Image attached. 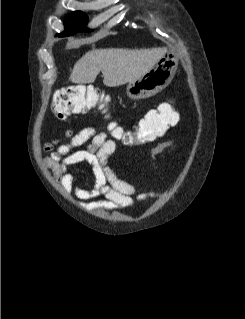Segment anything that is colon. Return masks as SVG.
<instances>
[{
	"label": "colon",
	"mask_w": 245,
	"mask_h": 319,
	"mask_svg": "<svg viewBox=\"0 0 245 319\" xmlns=\"http://www.w3.org/2000/svg\"><path fill=\"white\" fill-rule=\"evenodd\" d=\"M104 95L92 85H71L55 93L52 101L54 114L63 119L72 114L86 113L96 106H105ZM177 120V113L172 106H163L149 111L142 117L134 131L121 128L113 130L116 138L125 145H144L154 142L164 135Z\"/></svg>",
	"instance_id": "5ec220e1"
}]
</instances>
